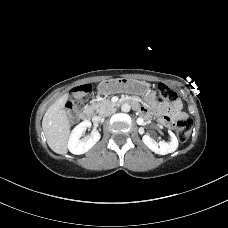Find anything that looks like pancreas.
Returning <instances> with one entry per match:
<instances>
[{
  "instance_id": "obj_1",
  "label": "pancreas",
  "mask_w": 228,
  "mask_h": 228,
  "mask_svg": "<svg viewBox=\"0 0 228 228\" xmlns=\"http://www.w3.org/2000/svg\"><path fill=\"white\" fill-rule=\"evenodd\" d=\"M114 106V103H112L108 99H103L101 101H94L91 105V107L96 110L97 113H101L104 109L108 107Z\"/></svg>"
}]
</instances>
